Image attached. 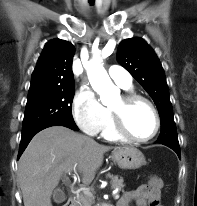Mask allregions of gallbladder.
Instances as JSON below:
<instances>
[{"mask_svg": "<svg viewBox=\"0 0 197 206\" xmlns=\"http://www.w3.org/2000/svg\"><path fill=\"white\" fill-rule=\"evenodd\" d=\"M53 200L55 203H62L66 200V195L60 188H57L53 192Z\"/></svg>", "mask_w": 197, "mask_h": 206, "instance_id": "gallbladder-1", "label": "gallbladder"}]
</instances>
